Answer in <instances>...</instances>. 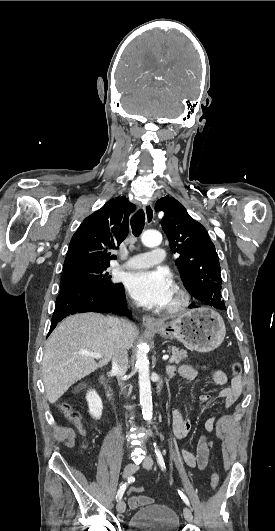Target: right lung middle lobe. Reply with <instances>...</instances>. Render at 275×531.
<instances>
[{"label":"right lung middle lobe","mask_w":275,"mask_h":531,"mask_svg":"<svg viewBox=\"0 0 275 531\" xmlns=\"http://www.w3.org/2000/svg\"><path fill=\"white\" fill-rule=\"evenodd\" d=\"M108 267L109 266H80L63 271L61 285L80 282L101 289L113 288L117 284L111 282V276L106 272Z\"/></svg>","instance_id":"right-lung-middle-lobe-1"}]
</instances>
